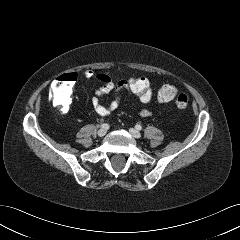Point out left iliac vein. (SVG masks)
Returning a JSON list of instances; mask_svg holds the SVG:
<instances>
[{
  "mask_svg": "<svg viewBox=\"0 0 240 240\" xmlns=\"http://www.w3.org/2000/svg\"><path fill=\"white\" fill-rule=\"evenodd\" d=\"M129 132L134 138H136V139L141 138L140 132L137 131L136 129L131 128V129H129Z\"/></svg>",
  "mask_w": 240,
  "mask_h": 240,
  "instance_id": "4c4485c4",
  "label": "left iliac vein"
}]
</instances>
